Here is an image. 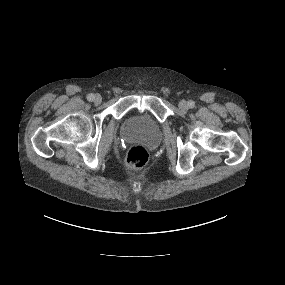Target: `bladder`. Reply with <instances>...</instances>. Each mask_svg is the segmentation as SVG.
Wrapping results in <instances>:
<instances>
[{
    "label": "bladder",
    "instance_id": "bladder-1",
    "mask_svg": "<svg viewBox=\"0 0 285 285\" xmlns=\"http://www.w3.org/2000/svg\"><path fill=\"white\" fill-rule=\"evenodd\" d=\"M125 133L148 146H154L160 140L159 127L149 122L130 121L125 126Z\"/></svg>",
    "mask_w": 285,
    "mask_h": 285
}]
</instances>
